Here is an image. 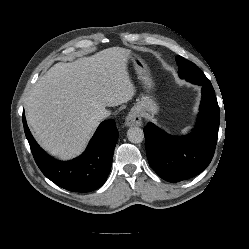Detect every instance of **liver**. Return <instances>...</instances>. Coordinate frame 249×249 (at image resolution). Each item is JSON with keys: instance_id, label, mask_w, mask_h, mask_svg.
<instances>
[{"instance_id": "1", "label": "liver", "mask_w": 249, "mask_h": 249, "mask_svg": "<svg viewBox=\"0 0 249 249\" xmlns=\"http://www.w3.org/2000/svg\"><path fill=\"white\" fill-rule=\"evenodd\" d=\"M130 54L120 47L104 49L56 63L39 78L26 97V119L50 154L63 160L80 155L100 123L96 115L132 99Z\"/></svg>"}]
</instances>
